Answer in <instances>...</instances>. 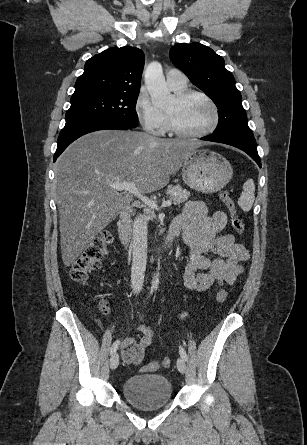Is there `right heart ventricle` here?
<instances>
[{"mask_svg": "<svg viewBox=\"0 0 307 445\" xmlns=\"http://www.w3.org/2000/svg\"><path fill=\"white\" fill-rule=\"evenodd\" d=\"M182 90H184V88H183V89H179V90H175V91L180 92V91H182Z\"/></svg>", "mask_w": 307, "mask_h": 445, "instance_id": "obj_1", "label": "right heart ventricle"}]
</instances>
